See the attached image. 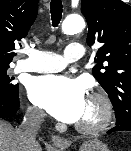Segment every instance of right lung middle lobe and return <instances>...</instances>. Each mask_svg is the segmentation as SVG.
Segmentation results:
<instances>
[{"label":"right lung middle lobe","mask_w":131,"mask_h":151,"mask_svg":"<svg viewBox=\"0 0 131 151\" xmlns=\"http://www.w3.org/2000/svg\"><path fill=\"white\" fill-rule=\"evenodd\" d=\"M9 64H0V92L12 93L19 88L18 84L13 82L14 77H9L6 73Z\"/></svg>","instance_id":"dd1d6c3e"}]
</instances>
